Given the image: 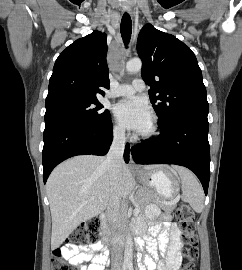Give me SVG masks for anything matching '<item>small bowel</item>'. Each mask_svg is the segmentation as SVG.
Listing matches in <instances>:
<instances>
[{
  "label": "small bowel",
  "mask_w": 242,
  "mask_h": 270,
  "mask_svg": "<svg viewBox=\"0 0 242 270\" xmlns=\"http://www.w3.org/2000/svg\"><path fill=\"white\" fill-rule=\"evenodd\" d=\"M139 247H145L148 257L145 265L148 269L178 270L180 266V249L182 231L178 224L171 221L169 214H162L156 207L147 210V218H139L134 222ZM104 249V242L97 241L90 245L64 247L63 254L78 270H105L107 255L97 253ZM164 261L158 263L159 252Z\"/></svg>",
  "instance_id": "small-bowel-1"
}]
</instances>
